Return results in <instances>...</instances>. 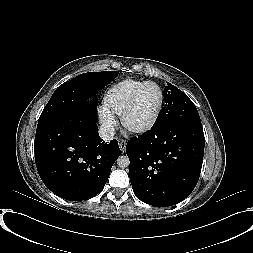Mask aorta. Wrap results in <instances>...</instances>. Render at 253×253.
<instances>
[{
	"instance_id": "762f6f07",
	"label": "aorta",
	"mask_w": 253,
	"mask_h": 253,
	"mask_svg": "<svg viewBox=\"0 0 253 253\" xmlns=\"http://www.w3.org/2000/svg\"><path fill=\"white\" fill-rule=\"evenodd\" d=\"M117 165L120 168H126L130 165V160L129 157L127 155H121L117 158Z\"/></svg>"
}]
</instances>
